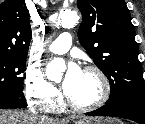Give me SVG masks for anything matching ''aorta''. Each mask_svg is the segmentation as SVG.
<instances>
[{
	"mask_svg": "<svg viewBox=\"0 0 145 124\" xmlns=\"http://www.w3.org/2000/svg\"><path fill=\"white\" fill-rule=\"evenodd\" d=\"M61 24L65 27H72L76 25L79 17L76 12L68 11L63 12L59 16ZM66 69L65 62L62 58H55L52 60L46 69V76L49 80L60 81L62 77V72Z\"/></svg>",
	"mask_w": 145,
	"mask_h": 124,
	"instance_id": "1",
	"label": "aorta"
}]
</instances>
